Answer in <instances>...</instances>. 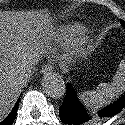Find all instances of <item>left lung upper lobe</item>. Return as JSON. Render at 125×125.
<instances>
[{
    "mask_svg": "<svg viewBox=\"0 0 125 125\" xmlns=\"http://www.w3.org/2000/svg\"><path fill=\"white\" fill-rule=\"evenodd\" d=\"M121 23H122V26H123V27H125V22H124V21H122Z\"/></svg>",
    "mask_w": 125,
    "mask_h": 125,
    "instance_id": "left-lung-upper-lobe-1",
    "label": "left lung upper lobe"
}]
</instances>
